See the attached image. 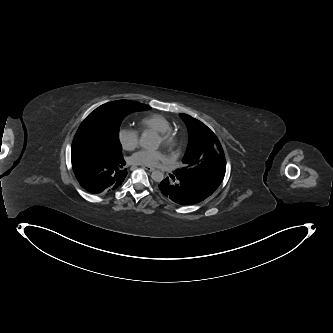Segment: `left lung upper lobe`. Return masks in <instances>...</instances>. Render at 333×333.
Listing matches in <instances>:
<instances>
[{
  "instance_id": "left-lung-upper-lobe-1",
  "label": "left lung upper lobe",
  "mask_w": 333,
  "mask_h": 333,
  "mask_svg": "<svg viewBox=\"0 0 333 333\" xmlns=\"http://www.w3.org/2000/svg\"><path fill=\"white\" fill-rule=\"evenodd\" d=\"M180 116L188 127L190 140L182 160L185 166L175 172L212 194L225 175L226 163L222 146L205 124L187 114Z\"/></svg>"
}]
</instances>
